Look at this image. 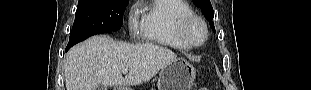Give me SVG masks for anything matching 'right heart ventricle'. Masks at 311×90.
Here are the masks:
<instances>
[{
  "mask_svg": "<svg viewBox=\"0 0 311 90\" xmlns=\"http://www.w3.org/2000/svg\"><path fill=\"white\" fill-rule=\"evenodd\" d=\"M194 11L184 0H155L142 11L143 39L178 50H189L178 34L180 22Z\"/></svg>",
  "mask_w": 311,
  "mask_h": 90,
  "instance_id": "right-heart-ventricle-1",
  "label": "right heart ventricle"
}]
</instances>
